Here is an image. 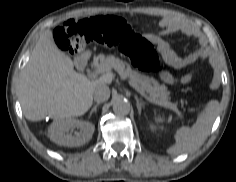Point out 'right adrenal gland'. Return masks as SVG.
I'll list each match as a JSON object with an SVG mask.
<instances>
[{
	"instance_id": "right-adrenal-gland-1",
	"label": "right adrenal gland",
	"mask_w": 236,
	"mask_h": 182,
	"mask_svg": "<svg viewBox=\"0 0 236 182\" xmlns=\"http://www.w3.org/2000/svg\"><path fill=\"white\" fill-rule=\"evenodd\" d=\"M100 105V102H98L96 105H94L89 113V118L93 114V112H96L97 107Z\"/></svg>"
}]
</instances>
